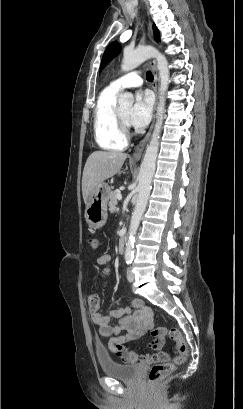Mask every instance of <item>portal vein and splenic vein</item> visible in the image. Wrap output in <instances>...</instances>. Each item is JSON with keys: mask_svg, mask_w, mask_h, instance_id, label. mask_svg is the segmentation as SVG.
I'll use <instances>...</instances> for the list:
<instances>
[{"mask_svg": "<svg viewBox=\"0 0 243 409\" xmlns=\"http://www.w3.org/2000/svg\"><path fill=\"white\" fill-rule=\"evenodd\" d=\"M117 199H118V200H121V199H122V195H121L120 193L117 195Z\"/></svg>", "mask_w": 243, "mask_h": 409, "instance_id": "obj_1", "label": "portal vein and splenic vein"}]
</instances>
